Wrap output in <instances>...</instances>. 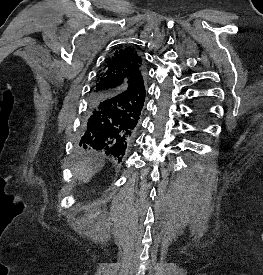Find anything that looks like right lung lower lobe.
Returning a JSON list of instances; mask_svg holds the SVG:
<instances>
[{
	"label": "right lung lower lobe",
	"mask_w": 263,
	"mask_h": 275,
	"mask_svg": "<svg viewBox=\"0 0 263 275\" xmlns=\"http://www.w3.org/2000/svg\"><path fill=\"white\" fill-rule=\"evenodd\" d=\"M138 76L143 81L142 69ZM128 98L126 91L91 94L81 126V149L104 152L121 161L133 139L141 113L130 112Z\"/></svg>",
	"instance_id": "obj_1"
}]
</instances>
